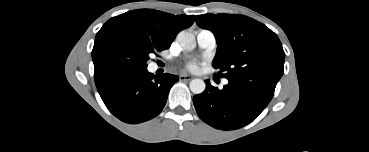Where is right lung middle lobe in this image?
<instances>
[{
    "label": "right lung middle lobe",
    "instance_id": "right-lung-middle-lobe-1",
    "mask_svg": "<svg viewBox=\"0 0 369 152\" xmlns=\"http://www.w3.org/2000/svg\"><path fill=\"white\" fill-rule=\"evenodd\" d=\"M162 50L136 31L118 26H103L96 35L92 50L94 77L119 68H146L149 56Z\"/></svg>",
    "mask_w": 369,
    "mask_h": 152
}]
</instances>
